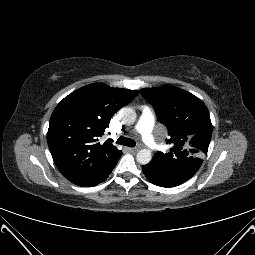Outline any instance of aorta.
<instances>
[{"instance_id": "aorta-1", "label": "aorta", "mask_w": 255, "mask_h": 255, "mask_svg": "<svg viewBox=\"0 0 255 255\" xmlns=\"http://www.w3.org/2000/svg\"><path fill=\"white\" fill-rule=\"evenodd\" d=\"M120 116L122 121H124L125 123H133L136 119V113L131 108H124L121 111ZM151 159H152V153H151V150L148 148H143L139 150L136 155L137 162L142 165L148 164L151 161Z\"/></svg>"}]
</instances>
